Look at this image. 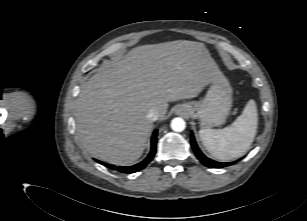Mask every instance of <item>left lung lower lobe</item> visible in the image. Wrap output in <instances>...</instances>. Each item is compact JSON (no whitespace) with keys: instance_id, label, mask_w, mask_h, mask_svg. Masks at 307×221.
Listing matches in <instances>:
<instances>
[{"instance_id":"left-lung-lower-lobe-1","label":"left lung lower lobe","mask_w":307,"mask_h":221,"mask_svg":"<svg viewBox=\"0 0 307 221\" xmlns=\"http://www.w3.org/2000/svg\"><path fill=\"white\" fill-rule=\"evenodd\" d=\"M191 145H192V148H193L197 158L207 167L222 168V167H226V166L235 164L237 162V161H234V162H231V163H221V162H216L214 160L207 158L198 148L193 134H191Z\"/></svg>"}]
</instances>
